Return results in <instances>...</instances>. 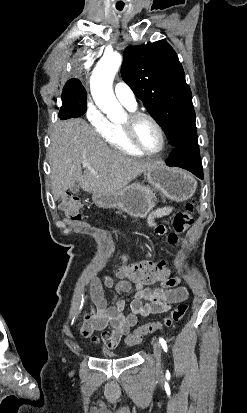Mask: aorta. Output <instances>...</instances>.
Returning <instances> with one entry per match:
<instances>
[{"label": "aorta", "instance_id": "1", "mask_svg": "<svg viewBox=\"0 0 247 413\" xmlns=\"http://www.w3.org/2000/svg\"><path fill=\"white\" fill-rule=\"evenodd\" d=\"M122 63V56L117 52L105 53L97 63L91 76V94L97 106L109 119L122 116L123 110L117 101L113 89V79Z\"/></svg>", "mask_w": 247, "mask_h": 413}]
</instances>
